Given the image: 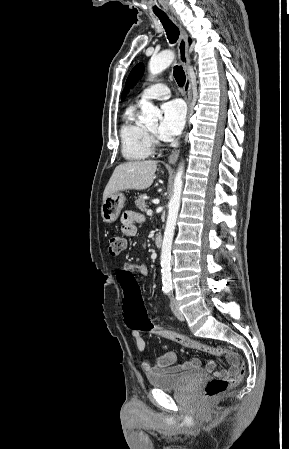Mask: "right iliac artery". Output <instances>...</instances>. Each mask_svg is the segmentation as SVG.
<instances>
[{"instance_id": "82829eb1", "label": "right iliac artery", "mask_w": 289, "mask_h": 449, "mask_svg": "<svg viewBox=\"0 0 289 449\" xmlns=\"http://www.w3.org/2000/svg\"><path fill=\"white\" fill-rule=\"evenodd\" d=\"M169 292H170L169 289H164V293H165V294H167V293H169Z\"/></svg>"}]
</instances>
